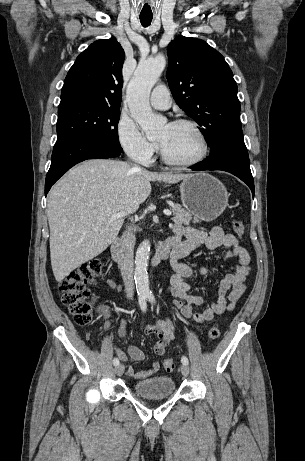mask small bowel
<instances>
[{"instance_id":"obj_1","label":"small bowel","mask_w":305,"mask_h":461,"mask_svg":"<svg viewBox=\"0 0 305 461\" xmlns=\"http://www.w3.org/2000/svg\"><path fill=\"white\" fill-rule=\"evenodd\" d=\"M174 235L179 238L186 236L187 241L179 244L171 253L170 263L174 274L167 288V293L175 299L173 306L180 310L185 318L200 324L209 323L216 315L233 310L246 291L245 280L250 272L251 261L248 251L239 244L238 239L234 235L225 233L218 226L205 231L195 227H184L181 224H176L174 226ZM203 247L210 250L226 248L227 251L224 254V260L236 258L237 263L234 270L227 274L217 286L216 299L207 304L202 311H194V307L201 305L203 299L200 296L190 293L191 285L188 279L196 275H206L208 269L201 267L196 271L181 262L180 259ZM108 284L111 287H116V284L112 280H109ZM100 312L105 319V329L107 330L110 327V309L108 306H102ZM126 324V320L121 321L118 329L120 337H124L126 334ZM146 332L156 337L154 352L158 356L165 354L167 346L175 338L174 325L169 318L166 320H157L149 324L146 327ZM115 351L119 359L124 362H141L146 357L144 351L135 345H128L126 352L119 348H115ZM160 368V362L154 360L151 368L146 371L138 372L129 367L127 373L134 379H143L153 376Z\"/></svg>"}]
</instances>
